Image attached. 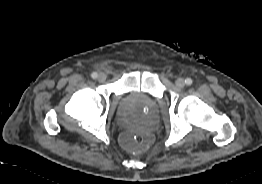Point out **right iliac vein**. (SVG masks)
Listing matches in <instances>:
<instances>
[{"mask_svg":"<svg viewBox=\"0 0 262 184\" xmlns=\"http://www.w3.org/2000/svg\"><path fill=\"white\" fill-rule=\"evenodd\" d=\"M106 80V75L104 73H100L98 76V81L104 82Z\"/></svg>","mask_w":262,"mask_h":184,"instance_id":"63e3f726","label":"right iliac vein"}]
</instances>
